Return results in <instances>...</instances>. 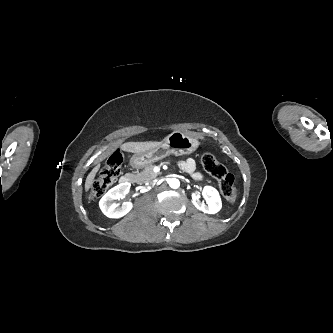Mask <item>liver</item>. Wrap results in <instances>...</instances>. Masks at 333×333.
I'll return each instance as SVG.
<instances>
[{"mask_svg":"<svg viewBox=\"0 0 333 333\" xmlns=\"http://www.w3.org/2000/svg\"><path fill=\"white\" fill-rule=\"evenodd\" d=\"M161 145V142L157 141H147V142H126L120 146L121 150L124 152H131V153H143L145 151L154 149ZM100 168V164L95 166L91 172L88 174L86 181H85V190L88 191L95 179L96 173Z\"/></svg>","mask_w":333,"mask_h":333,"instance_id":"1","label":"liver"}]
</instances>
